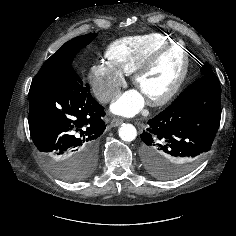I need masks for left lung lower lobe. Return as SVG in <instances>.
<instances>
[{"label":"left lung lower lobe","mask_w":236,"mask_h":236,"mask_svg":"<svg viewBox=\"0 0 236 236\" xmlns=\"http://www.w3.org/2000/svg\"><path fill=\"white\" fill-rule=\"evenodd\" d=\"M221 119V87L214 74L185 89L140 134L146 171L168 179L196 166L210 150Z\"/></svg>","instance_id":"left-lung-lower-lobe-1"}]
</instances>
